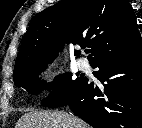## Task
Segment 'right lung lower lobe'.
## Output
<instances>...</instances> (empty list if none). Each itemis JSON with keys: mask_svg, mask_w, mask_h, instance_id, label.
<instances>
[{"mask_svg": "<svg viewBox=\"0 0 142 128\" xmlns=\"http://www.w3.org/2000/svg\"><path fill=\"white\" fill-rule=\"evenodd\" d=\"M93 68L101 88L87 78L68 106L94 128H142V43Z\"/></svg>", "mask_w": 142, "mask_h": 128, "instance_id": "obj_1", "label": "right lung lower lobe"}]
</instances>
